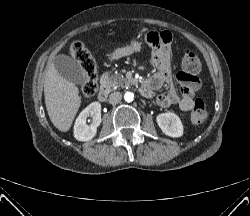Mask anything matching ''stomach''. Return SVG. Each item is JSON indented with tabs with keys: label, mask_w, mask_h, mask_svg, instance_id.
Segmentation results:
<instances>
[{
	"label": "stomach",
	"mask_w": 250,
	"mask_h": 216,
	"mask_svg": "<svg viewBox=\"0 0 250 216\" xmlns=\"http://www.w3.org/2000/svg\"><path fill=\"white\" fill-rule=\"evenodd\" d=\"M142 48V42L133 41L130 45L117 48L110 54V60L115 61L125 56H130L136 52H139Z\"/></svg>",
	"instance_id": "1"
}]
</instances>
